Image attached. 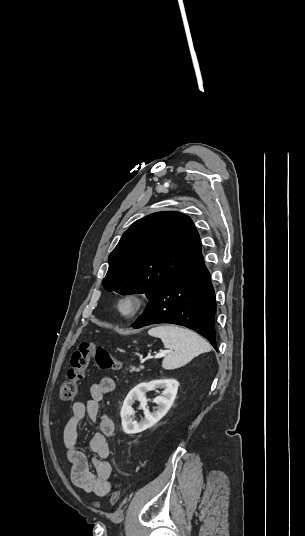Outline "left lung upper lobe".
I'll return each mask as SVG.
<instances>
[{
	"label": "left lung upper lobe",
	"instance_id": "5c2ea615",
	"mask_svg": "<svg viewBox=\"0 0 305 536\" xmlns=\"http://www.w3.org/2000/svg\"><path fill=\"white\" fill-rule=\"evenodd\" d=\"M200 254L201 240L188 216L153 213L124 232L108 258L102 284L122 295L145 293L150 300Z\"/></svg>",
	"mask_w": 305,
	"mask_h": 536
}]
</instances>
